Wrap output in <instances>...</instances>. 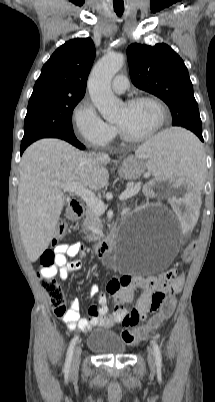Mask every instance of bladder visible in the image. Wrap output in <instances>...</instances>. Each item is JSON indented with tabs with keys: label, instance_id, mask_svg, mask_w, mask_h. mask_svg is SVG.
Returning a JSON list of instances; mask_svg holds the SVG:
<instances>
[{
	"label": "bladder",
	"instance_id": "obj_1",
	"mask_svg": "<svg viewBox=\"0 0 215 402\" xmlns=\"http://www.w3.org/2000/svg\"><path fill=\"white\" fill-rule=\"evenodd\" d=\"M86 343L91 351L102 355H119L126 351V345L120 336L115 331L106 328L93 330Z\"/></svg>",
	"mask_w": 215,
	"mask_h": 402
}]
</instances>
